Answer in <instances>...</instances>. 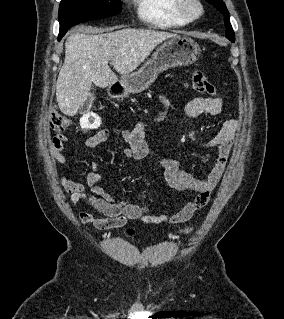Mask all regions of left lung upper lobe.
I'll return each instance as SVG.
<instances>
[{"instance_id":"1","label":"left lung upper lobe","mask_w":284,"mask_h":319,"mask_svg":"<svg viewBox=\"0 0 284 319\" xmlns=\"http://www.w3.org/2000/svg\"><path fill=\"white\" fill-rule=\"evenodd\" d=\"M208 3H210L211 5H213L215 8H217L222 15L224 16V24L226 26V37L231 41L234 42L235 41V35H234V31L232 29V26L230 24V20H229V12L225 6V4L223 3L222 0H206Z\"/></svg>"}]
</instances>
